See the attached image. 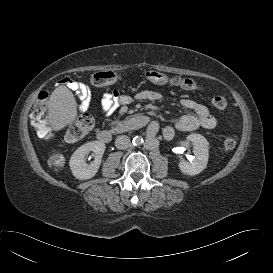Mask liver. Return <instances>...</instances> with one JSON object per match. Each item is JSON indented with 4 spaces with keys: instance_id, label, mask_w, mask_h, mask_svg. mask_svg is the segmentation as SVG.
Segmentation results:
<instances>
[{
    "instance_id": "obj_1",
    "label": "liver",
    "mask_w": 273,
    "mask_h": 273,
    "mask_svg": "<svg viewBox=\"0 0 273 273\" xmlns=\"http://www.w3.org/2000/svg\"><path fill=\"white\" fill-rule=\"evenodd\" d=\"M77 116V103L72 92L65 86L57 87L48 101L49 124L54 131L72 124Z\"/></svg>"
}]
</instances>
